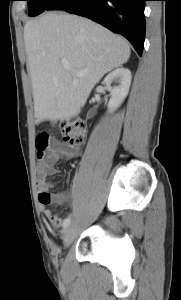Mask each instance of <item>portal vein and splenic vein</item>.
I'll list each match as a JSON object with an SVG mask.
<instances>
[{
    "mask_svg": "<svg viewBox=\"0 0 181 300\" xmlns=\"http://www.w3.org/2000/svg\"><path fill=\"white\" fill-rule=\"evenodd\" d=\"M62 65L66 70H70V65L67 61L62 60ZM84 74H86V72H84V71L74 72V75H77V76H82Z\"/></svg>",
    "mask_w": 181,
    "mask_h": 300,
    "instance_id": "18ae733b",
    "label": "portal vein and splenic vein"
}]
</instances>
